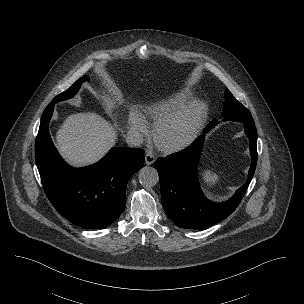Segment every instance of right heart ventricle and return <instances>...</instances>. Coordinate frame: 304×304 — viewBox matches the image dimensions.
Wrapping results in <instances>:
<instances>
[{
	"label": "right heart ventricle",
	"instance_id": "1",
	"mask_svg": "<svg viewBox=\"0 0 304 304\" xmlns=\"http://www.w3.org/2000/svg\"><path fill=\"white\" fill-rule=\"evenodd\" d=\"M192 98V94L181 92L166 100L153 103L144 110V115L152 122L156 123L163 117L176 112L187 104Z\"/></svg>",
	"mask_w": 304,
	"mask_h": 304
}]
</instances>
